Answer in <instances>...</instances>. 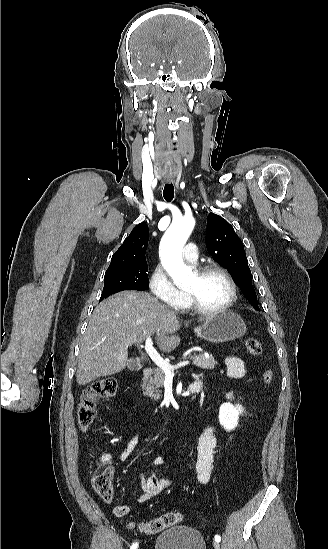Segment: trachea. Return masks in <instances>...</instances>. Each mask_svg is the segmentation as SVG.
I'll return each mask as SVG.
<instances>
[{
  "label": "trachea",
  "instance_id": "trachea-1",
  "mask_svg": "<svg viewBox=\"0 0 328 549\" xmlns=\"http://www.w3.org/2000/svg\"><path fill=\"white\" fill-rule=\"evenodd\" d=\"M163 197L167 202H171L174 198V186L173 184H165L163 190Z\"/></svg>",
  "mask_w": 328,
  "mask_h": 549
}]
</instances>
